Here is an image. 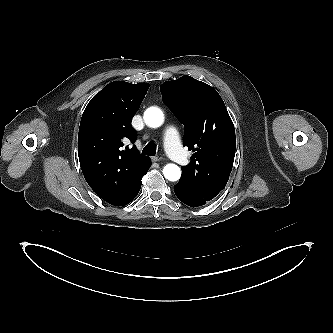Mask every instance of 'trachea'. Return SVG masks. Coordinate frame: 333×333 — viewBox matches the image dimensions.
<instances>
[{
	"label": "trachea",
	"instance_id": "1",
	"mask_svg": "<svg viewBox=\"0 0 333 333\" xmlns=\"http://www.w3.org/2000/svg\"><path fill=\"white\" fill-rule=\"evenodd\" d=\"M142 154L155 156L156 154V144L154 142H149L143 149Z\"/></svg>",
	"mask_w": 333,
	"mask_h": 333
}]
</instances>
